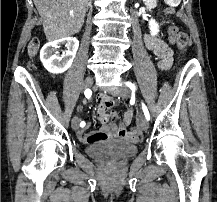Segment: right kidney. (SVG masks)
<instances>
[{
    "label": "right kidney",
    "mask_w": 217,
    "mask_h": 202,
    "mask_svg": "<svg viewBox=\"0 0 217 202\" xmlns=\"http://www.w3.org/2000/svg\"><path fill=\"white\" fill-rule=\"evenodd\" d=\"M62 44H65L67 50L62 56H57L55 52H58V48ZM78 48L77 38H61V40H55V42H48L40 52V60L43 62L44 68L51 74H62L70 68Z\"/></svg>",
    "instance_id": "obj_1"
}]
</instances>
